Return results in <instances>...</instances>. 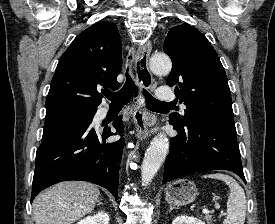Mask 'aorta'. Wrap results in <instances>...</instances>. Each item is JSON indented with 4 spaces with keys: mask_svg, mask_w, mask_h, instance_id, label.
Listing matches in <instances>:
<instances>
[{
    "mask_svg": "<svg viewBox=\"0 0 275 224\" xmlns=\"http://www.w3.org/2000/svg\"><path fill=\"white\" fill-rule=\"evenodd\" d=\"M149 64L153 73L157 75H168L172 69L170 58L164 54L152 55ZM168 151L169 139L166 134L159 133L152 139L142 162L141 179L143 186L152 181L164 162Z\"/></svg>",
    "mask_w": 275,
    "mask_h": 224,
    "instance_id": "762f6f07",
    "label": "aorta"
}]
</instances>
